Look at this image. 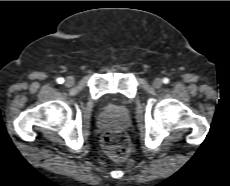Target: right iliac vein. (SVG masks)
Masks as SVG:
<instances>
[{"label":"right iliac vein","instance_id":"obj_1","mask_svg":"<svg viewBox=\"0 0 230 186\" xmlns=\"http://www.w3.org/2000/svg\"><path fill=\"white\" fill-rule=\"evenodd\" d=\"M74 82H75V79L71 76H69L65 79V85L67 87H71L74 84Z\"/></svg>","mask_w":230,"mask_h":186}]
</instances>
